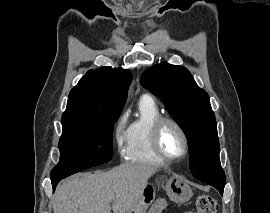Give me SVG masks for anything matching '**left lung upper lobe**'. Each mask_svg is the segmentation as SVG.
Wrapping results in <instances>:
<instances>
[{"instance_id":"5c2ea615","label":"left lung upper lobe","mask_w":270,"mask_h":213,"mask_svg":"<svg viewBox=\"0 0 270 213\" xmlns=\"http://www.w3.org/2000/svg\"><path fill=\"white\" fill-rule=\"evenodd\" d=\"M156 94L172 118L188 134L189 163L198 179L223 190L225 174L219 160V140L209 96L181 66L161 63L146 70L140 79Z\"/></svg>"}]
</instances>
